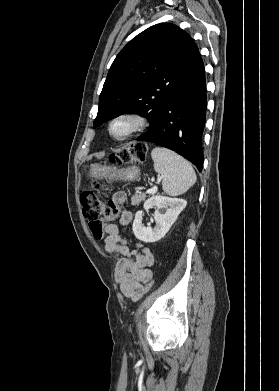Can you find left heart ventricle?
Returning a JSON list of instances; mask_svg holds the SVG:
<instances>
[{"label":"left heart ventricle","mask_w":279,"mask_h":391,"mask_svg":"<svg viewBox=\"0 0 279 391\" xmlns=\"http://www.w3.org/2000/svg\"><path fill=\"white\" fill-rule=\"evenodd\" d=\"M127 128V124L126 123H119L115 126L114 130L116 133L120 134L122 132H124V130Z\"/></svg>","instance_id":"left-heart-ventricle-1"}]
</instances>
